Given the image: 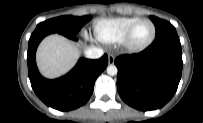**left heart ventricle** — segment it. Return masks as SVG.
Here are the masks:
<instances>
[{"label":"left heart ventricle","instance_id":"obj_1","mask_svg":"<svg viewBox=\"0 0 203 123\" xmlns=\"http://www.w3.org/2000/svg\"><path fill=\"white\" fill-rule=\"evenodd\" d=\"M152 32V25L148 22H142L135 28L131 37V42L134 45L144 44L150 39Z\"/></svg>","mask_w":203,"mask_h":123}]
</instances>
